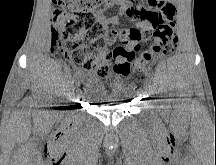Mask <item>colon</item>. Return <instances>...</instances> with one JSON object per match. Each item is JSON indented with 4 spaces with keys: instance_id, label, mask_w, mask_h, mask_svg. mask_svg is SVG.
Masks as SVG:
<instances>
[{
    "instance_id": "5ec220e1",
    "label": "colon",
    "mask_w": 216,
    "mask_h": 165,
    "mask_svg": "<svg viewBox=\"0 0 216 165\" xmlns=\"http://www.w3.org/2000/svg\"><path fill=\"white\" fill-rule=\"evenodd\" d=\"M58 8L52 16V42L61 55L74 64L93 72L99 79L109 77L111 71L125 72L131 66L145 69L155 54L168 57L175 49V12L159 10L150 13H134L149 19L151 29L147 32L131 27L121 32L122 45L110 50L107 47L103 26L96 17L97 10L110 4L111 0H53ZM142 37H152L150 49L136 56ZM114 60V64L111 61Z\"/></svg>"
}]
</instances>
